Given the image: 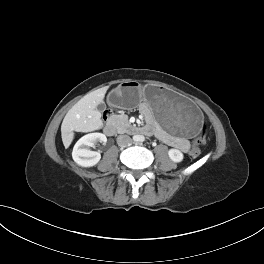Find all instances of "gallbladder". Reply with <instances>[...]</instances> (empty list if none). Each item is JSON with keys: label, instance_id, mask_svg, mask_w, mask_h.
<instances>
[{"label": "gallbladder", "instance_id": "bac80fb5", "mask_svg": "<svg viewBox=\"0 0 264 264\" xmlns=\"http://www.w3.org/2000/svg\"><path fill=\"white\" fill-rule=\"evenodd\" d=\"M105 109V104L104 103H101V104H98L97 105V110L98 111H102V110H104Z\"/></svg>", "mask_w": 264, "mask_h": 264}]
</instances>
